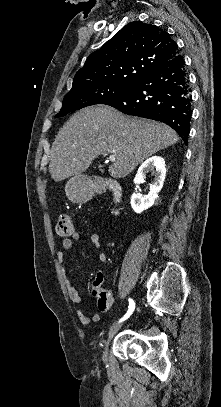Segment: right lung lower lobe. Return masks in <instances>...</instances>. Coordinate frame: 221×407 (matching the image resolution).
I'll use <instances>...</instances> for the list:
<instances>
[{
  "label": "right lung lower lobe",
  "mask_w": 221,
  "mask_h": 407,
  "mask_svg": "<svg viewBox=\"0 0 221 407\" xmlns=\"http://www.w3.org/2000/svg\"><path fill=\"white\" fill-rule=\"evenodd\" d=\"M191 89L185 61L179 50L124 95L106 102L119 111L163 122L188 143L192 116Z\"/></svg>",
  "instance_id": "1"
}]
</instances>
